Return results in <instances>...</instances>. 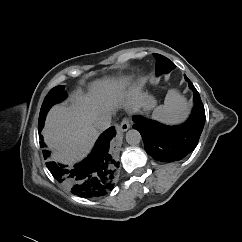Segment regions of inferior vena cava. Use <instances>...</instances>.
Returning <instances> with one entry per match:
<instances>
[{
	"instance_id": "obj_1",
	"label": "inferior vena cava",
	"mask_w": 242,
	"mask_h": 242,
	"mask_svg": "<svg viewBox=\"0 0 242 242\" xmlns=\"http://www.w3.org/2000/svg\"><path fill=\"white\" fill-rule=\"evenodd\" d=\"M111 114L109 113H102L95 121V127L100 130L104 131L111 126Z\"/></svg>"
}]
</instances>
